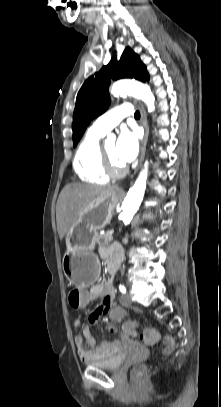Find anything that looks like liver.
I'll list each match as a JSON object with an SVG mask.
<instances>
[{"label":"liver","instance_id":"1","mask_svg":"<svg viewBox=\"0 0 221 407\" xmlns=\"http://www.w3.org/2000/svg\"><path fill=\"white\" fill-rule=\"evenodd\" d=\"M108 190L111 188L80 183L67 184L63 188L56 204L57 231L60 240L78 221L92 201Z\"/></svg>","mask_w":221,"mask_h":407}]
</instances>
